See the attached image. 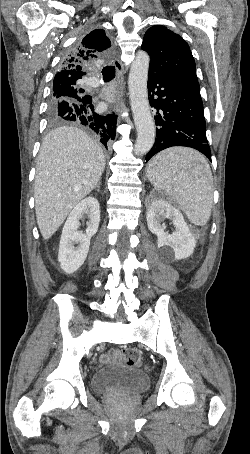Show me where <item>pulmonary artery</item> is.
<instances>
[{
    "mask_svg": "<svg viewBox=\"0 0 250 454\" xmlns=\"http://www.w3.org/2000/svg\"><path fill=\"white\" fill-rule=\"evenodd\" d=\"M86 83H87L88 85L94 86V87L100 85V81H99V79L96 78V77H89V78H87Z\"/></svg>",
    "mask_w": 250,
    "mask_h": 454,
    "instance_id": "e3ab8cb5",
    "label": "pulmonary artery"
}]
</instances>
